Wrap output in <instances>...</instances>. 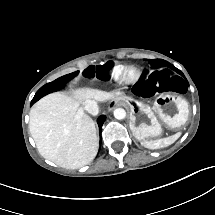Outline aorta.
Returning <instances> with one entry per match:
<instances>
[{
	"instance_id": "obj_1",
	"label": "aorta",
	"mask_w": 215,
	"mask_h": 215,
	"mask_svg": "<svg viewBox=\"0 0 215 215\" xmlns=\"http://www.w3.org/2000/svg\"><path fill=\"white\" fill-rule=\"evenodd\" d=\"M126 112L123 108H116L113 111V115L116 119H122L125 116Z\"/></svg>"
}]
</instances>
